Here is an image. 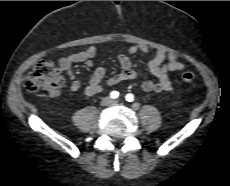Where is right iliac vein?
Here are the masks:
<instances>
[{
  "label": "right iliac vein",
  "mask_w": 230,
  "mask_h": 186,
  "mask_svg": "<svg viewBox=\"0 0 230 186\" xmlns=\"http://www.w3.org/2000/svg\"><path fill=\"white\" fill-rule=\"evenodd\" d=\"M105 102H106V103H109V102H110V99H108V98L105 99Z\"/></svg>",
  "instance_id": "obj_1"
}]
</instances>
